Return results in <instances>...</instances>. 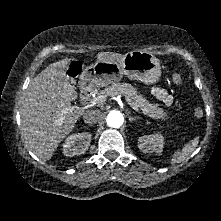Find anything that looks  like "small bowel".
<instances>
[{"mask_svg": "<svg viewBox=\"0 0 221 221\" xmlns=\"http://www.w3.org/2000/svg\"><path fill=\"white\" fill-rule=\"evenodd\" d=\"M152 94L158 99L164 106H169L172 103L171 95L162 87H153Z\"/></svg>", "mask_w": 221, "mask_h": 221, "instance_id": "c3829d8e", "label": "small bowel"}]
</instances>
